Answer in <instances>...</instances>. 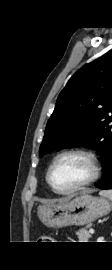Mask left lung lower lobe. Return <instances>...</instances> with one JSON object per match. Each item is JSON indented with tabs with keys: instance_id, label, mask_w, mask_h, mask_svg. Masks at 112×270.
I'll return each instance as SVG.
<instances>
[{
	"instance_id": "obj_1",
	"label": "left lung lower lobe",
	"mask_w": 112,
	"mask_h": 270,
	"mask_svg": "<svg viewBox=\"0 0 112 270\" xmlns=\"http://www.w3.org/2000/svg\"><path fill=\"white\" fill-rule=\"evenodd\" d=\"M95 186L99 189H112V153L103 165L102 179Z\"/></svg>"
}]
</instances>
